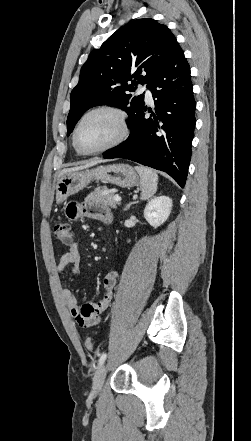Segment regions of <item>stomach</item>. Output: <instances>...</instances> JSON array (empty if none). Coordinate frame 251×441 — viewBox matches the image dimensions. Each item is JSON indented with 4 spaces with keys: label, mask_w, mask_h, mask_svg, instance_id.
I'll return each instance as SVG.
<instances>
[{
    "label": "stomach",
    "mask_w": 251,
    "mask_h": 441,
    "mask_svg": "<svg viewBox=\"0 0 251 441\" xmlns=\"http://www.w3.org/2000/svg\"><path fill=\"white\" fill-rule=\"evenodd\" d=\"M111 183L122 188L137 186L139 176L128 164L99 166L94 169L66 172L62 174L56 185V202L62 203L69 196L79 192L91 181Z\"/></svg>",
    "instance_id": "1"
}]
</instances>
